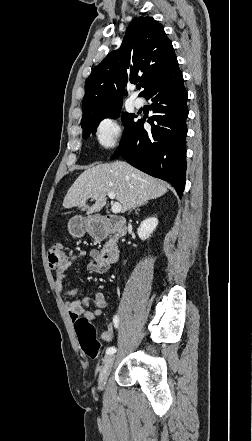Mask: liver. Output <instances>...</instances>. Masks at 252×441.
Instances as JSON below:
<instances>
[{
    "label": "liver",
    "instance_id": "obj_1",
    "mask_svg": "<svg viewBox=\"0 0 252 441\" xmlns=\"http://www.w3.org/2000/svg\"><path fill=\"white\" fill-rule=\"evenodd\" d=\"M113 192L124 213L167 192L164 182L153 178L123 161L93 166L81 173L69 188L63 206L78 207L87 214L99 212L106 204L107 194ZM97 194V198L94 195ZM95 199L92 206L88 199Z\"/></svg>",
    "mask_w": 252,
    "mask_h": 441
}]
</instances>
